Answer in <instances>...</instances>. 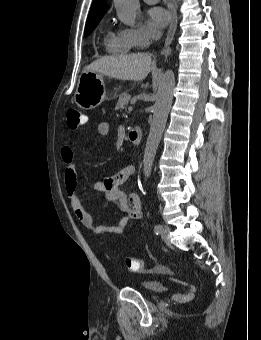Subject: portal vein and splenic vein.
I'll return each mask as SVG.
<instances>
[{"label":"portal vein and splenic vein","instance_id":"obj_1","mask_svg":"<svg viewBox=\"0 0 261 340\" xmlns=\"http://www.w3.org/2000/svg\"><path fill=\"white\" fill-rule=\"evenodd\" d=\"M128 110H129V111H132V110H133V107H132V106H129V107H128Z\"/></svg>","mask_w":261,"mask_h":340}]
</instances>
